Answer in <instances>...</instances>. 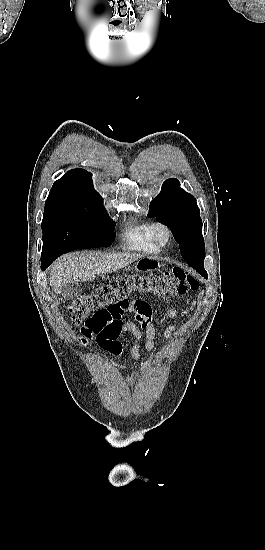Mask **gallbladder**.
I'll list each match as a JSON object with an SVG mask.
<instances>
[{"mask_svg": "<svg viewBox=\"0 0 265 550\" xmlns=\"http://www.w3.org/2000/svg\"><path fill=\"white\" fill-rule=\"evenodd\" d=\"M81 292V286L74 282L64 284L61 289L62 295L68 300L77 298Z\"/></svg>", "mask_w": 265, "mask_h": 550, "instance_id": "bac80fb5", "label": "gallbladder"}]
</instances>
